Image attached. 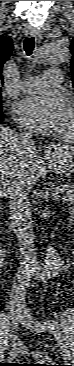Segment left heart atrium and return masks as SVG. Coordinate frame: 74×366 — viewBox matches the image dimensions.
Wrapping results in <instances>:
<instances>
[{"instance_id": "left-heart-atrium-1", "label": "left heart atrium", "mask_w": 74, "mask_h": 366, "mask_svg": "<svg viewBox=\"0 0 74 366\" xmlns=\"http://www.w3.org/2000/svg\"><path fill=\"white\" fill-rule=\"evenodd\" d=\"M68 110L65 96L58 91H50L22 99L16 105L15 116L21 124L32 129L60 131Z\"/></svg>"}]
</instances>
